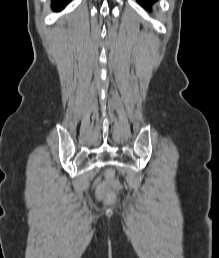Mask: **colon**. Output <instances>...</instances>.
Masks as SVG:
<instances>
[{"label": "colon", "mask_w": 219, "mask_h": 258, "mask_svg": "<svg viewBox=\"0 0 219 258\" xmlns=\"http://www.w3.org/2000/svg\"><path fill=\"white\" fill-rule=\"evenodd\" d=\"M120 188L121 183L115 178L113 169H108L105 173V180L98 181L95 185L97 195L107 203L115 201V190Z\"/></svg>", "instance_id": "obj_1"}]
</instances>
